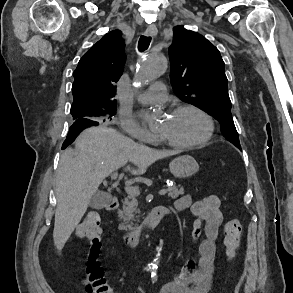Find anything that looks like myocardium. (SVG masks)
Listing matches in <instances>:
<instances>
[{"instance_id": "myocardium-1", "label": "myocardium", "mask_w": 293, "mask_h": 293, "mask_svg": "<svg viewBox=\"0 0 293 293\" xmlns=\"http://www.w3.org/2000/svg\"><path fill=\"white\" fill-rule=\"evenodd\" d=\"M183 111H193L199 114L201 117H203L207 125L206 133L204 134V136L193 142H178V141L169 139L167 137H164L162 135H159L160 141L167 146L176 147V148H194V147L204 145L208 141H210L215 132V124H214L213 118L206 111H204L200 107L193 104H182V105L176 106L169 112V114L175 115Z\"/></svg>"}]
</instances>
